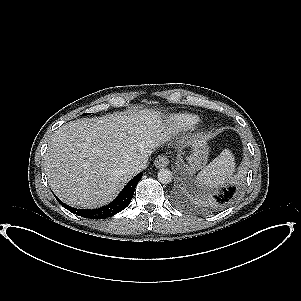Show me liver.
<instances>
[{"mask_svg":"<svg viewBox=\"0 0 301 301\" xmlns=\"http://www.w3.org/2000/svg\"><path fill=\"white\" fill-rule=\"evenodd\" d=\"M169 140L155 112L109 114L69 122L52 135L45 172L55 195L72 207L111 202L135 175L133 163Z\"/></svg>","mask_w":301,"mask_h":301,"instance_id":"obj_1","label":"liver"}]
</instances>
